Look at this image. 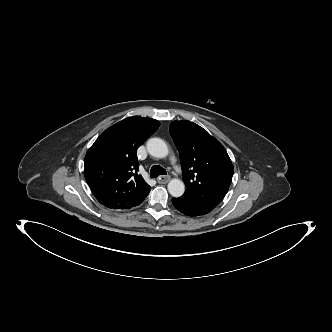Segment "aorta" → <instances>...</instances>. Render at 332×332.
Instances as JSON below:
<instances>
[{"mask_svg": "<svg viewBox=\"0 0 332 332\" xmlns=\"http://www.w3.org/2000/svg\"><path fill=\"white\" fill-rule=\"evenodd\" d=\"M146 146L149 154L156 158H164L169 153L167 144L160 138L149 139ZM168 191L173 197H181L185 192V185L180 179L174 178L168 183Z\"/></svg>", "mask_w": 332, "mask_h": 332, "instance_id": "obj_1", "label": "aorta"}]
</instances>
